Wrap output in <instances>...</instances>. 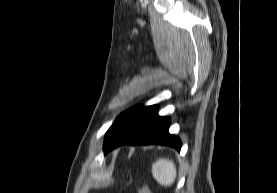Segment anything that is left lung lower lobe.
Segmentation results:
<instances>
[{
	"label": "left lung lower lobe",
	"mask_w": 277,
	"mask_h": 193,
	"mask_svg": "<svg viewBox=\"0 0 277 193\" xmlns=\"http://www.w3.org/2000/svg\"><path fill=\"white\" fill-rule=\"evenodd\" d=\"M157 112L156 105H140L122 113L105 135L104 153L122 144H161L180 151V139L168 132L169 118L160 117Z\"/></svg>",
	"instance_id": "1"
}]
</instances>
